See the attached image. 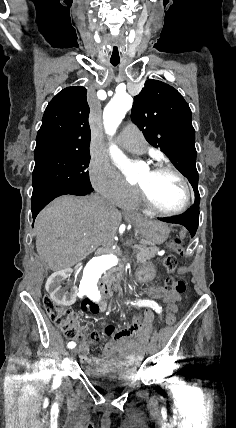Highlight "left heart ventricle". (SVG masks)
Here are the masks:
<instances>
[{
	"instance_id": "left-heart-ventricle-1",
	"label": "left heart ventricle",
	"mask_w": 236,
	"mask_h": 428,
	"mask_svg": "<svg viewBox=\"0 0 236 428\" xmlns=\"http://www.w3.org/2000/svg\"><path fill=\"white\" fill-rule=\"evenodd\" d=\"M130 181L134 184H144L155 202L164 209L178 208L184 202L183 184L171 173L151 175L149 169H144L130 178Z\"/></svg>"
}]
</instances>
